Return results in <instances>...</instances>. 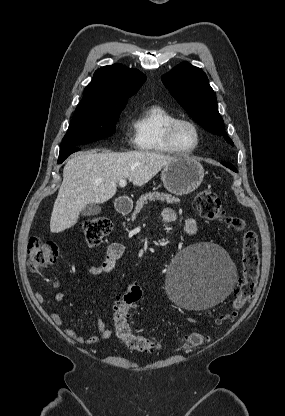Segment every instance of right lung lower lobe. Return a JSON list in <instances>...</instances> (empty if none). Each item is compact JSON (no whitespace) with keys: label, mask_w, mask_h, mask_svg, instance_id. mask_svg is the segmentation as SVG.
Wrapping results in <instances>:
<instances>
[{"label":"right lung lower lobe","mask_w":285,"mask_h":416,"mask_svg":"<svg viewBox=\"0 0 285 416\" xmlns=\"http://www.w3.org/2000/svg\"><path fill=\"white\" fill-rule=\"evenodd\" d=\"M80 150L78 147H66L60 149L59 158H58V164L62 163L70 154Z\"/></svg>","instance_id":"98d812e1"}]
</instances>
